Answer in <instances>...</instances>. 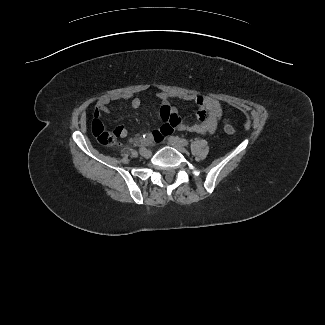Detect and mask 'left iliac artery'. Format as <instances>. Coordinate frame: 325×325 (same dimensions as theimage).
Returning a JSON list of instances; mask_svg holds the SVG:
<instances>
[{"label": "left iliac artery", "mask_w": 325, "mask_h": 325, "mask_svg": "<svg viewBox=\"0 0 325 325\" xmlns=\"http://www.w3.org/2000/svg\"><path fill=\"white\" fill-rule=\"evenodd\" d=\"M170 138H172L175 142H177V143H179V144H181L183 146H187L189 144L188 140L183 139V138L174 137V136H172Z\"/></svg>", "instance_id": "obj_1"}]
</instances>
